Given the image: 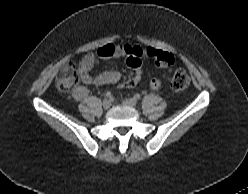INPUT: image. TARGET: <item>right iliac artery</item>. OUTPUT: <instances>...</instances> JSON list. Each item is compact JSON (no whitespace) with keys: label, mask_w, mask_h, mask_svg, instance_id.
I'll return each instance as SVG.
<instances>
[{"label":"right iliac artery","mask_w":248,"mask_h":194,"mask_svg":"<svg viewBox=\"0 0 248 194\" xmlns=\"http://www.w3.org/2000/svg\"><path fill=\"white\" fill-rule=\"evenodd\" d=\"M105 96H106L107 98H109V99H112V98H113V96H112V94H111L110 92H107Z\"/></svg>","instance_id":"right-iliac-artery-1"}]
</instances>
